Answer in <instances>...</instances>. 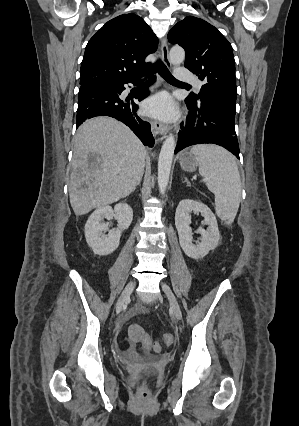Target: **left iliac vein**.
<instances>
[{
  "mask_svg": "<svg viewBox=\"0 0 299 426\" xmlns=\"http://www.w3.org/2000/svg\"><path fill=\"white\" fill-rule=\"evenodd\" d=\"M161 287H162V290L164 291V293L166 294V296H167V298L170 302V306H171V309H172L175 317L178 320H181L182 319V312H181L179 303H178L174 293L172 292L171 288L165 283H162Z\"/></svg>",
  "mask_w": 299,
  "mask_h": 426,
  "instance_id": "left-iliac-vein-1",
  "label": "left iliac vein"
}]
</instances>
